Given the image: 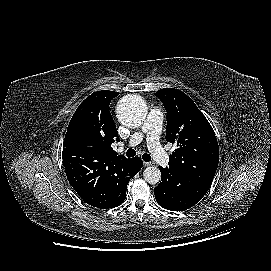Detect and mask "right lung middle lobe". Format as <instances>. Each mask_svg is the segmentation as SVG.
I'll return each mask as SVG.
<instances>
[{"instance_id":"1","label":"right lung middle lobe","mask_w":271,"mask_h":271,"mask_svg":"<svg viewBox=\"0 0 271 271\" xmlns=\"http://www.w3.org/2000/svg\"><path fill=\"white\" fill-rule=\"evenodd\" d=\"M68 146L72 150L85 151L86 149V136L83 132L78 131L70 136Z\"/></svg>"}]
</instances>
